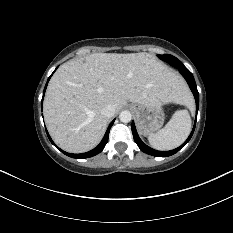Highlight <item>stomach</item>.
Returning a JSON list of instances; mask_svg holds the SVG:
<instances>
[{"mask_svg":"<svg viewBox=\"0 0 233 233\" xmlns=\"http://www.w3.org/2000/svg\"><path fill=\"white\" fill-rule=\"evenodd\" d=\"M135 113L138 130L144 136L159 130L164 123V112L162 106H147L138 103L131 104Z\"/></svg>","mask_w":233,"mask_h":233,"instance_id":"0dacf381","label":"stomach"}]
</instances>
